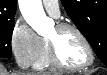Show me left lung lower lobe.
I'll use <instances>...</instances> for the list:
<instances>
[{"mask_svg": "<svg viewBox=\"0 0 107 75\" xmlns=\"http://www.w3.org/2000/svg\"><path fill=\"white\" fill-rule=\"evenodd\" d=\"M103 51L101 50V51H99L98 52V58L101 60L102 58H103Z\"/></svg>", "mask_w": 107, "mask_h": 75, "instance_id": "obj_1", "label": "left lung lower lobe"}]
</instances>
